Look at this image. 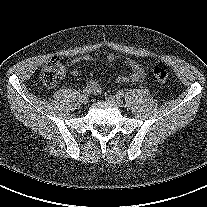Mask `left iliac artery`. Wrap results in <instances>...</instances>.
Masks as SVG:
<instances>
[{
	"mask_svg": "<svg viewBox=\"0 0 207 207\" xmlns=\"http://www.w3.org/2000/svg\"><path fill=\"white\" fill-rule=\"evenodd\" d=\"M117 95H118L119 97H123V96H124V91L119 90V91L117 92Z\"/></svg>",
	"mask_w": 207,
	"mask_h": 207,
	"instance_id": "left-iliac-artery-1",
	"label": "left iliac artery"
}]
</instances>
